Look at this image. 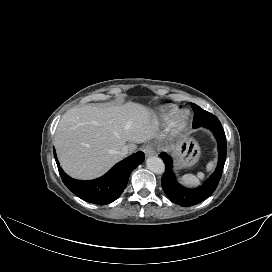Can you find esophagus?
Listing matches in <instances>:
<instances>
[{
  "mask_svg": "<svg viewBox=\"0 0 272 272\" xmlns=\"http://www.w3.org/2000/svg\"><path fill=\"white\" fill-rule=\"evenodd\" d=\"M143 151L146 156H152L155 154V148L152 144H147L143 147Z\"/></svg>",
  "mask_w": 272,
  "mask_h": 272,
  "instance_id": "obj_1",
  "label": "esophagus"
}]
</instances>
